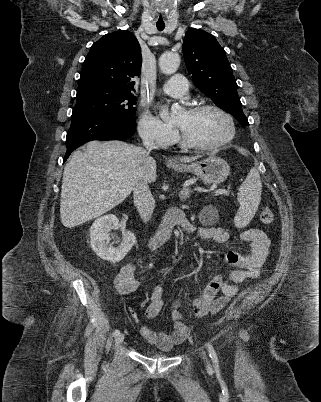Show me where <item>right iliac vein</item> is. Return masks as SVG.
<instances>
[{"instance_id":"63e3f726","label":"right iliac vein","mask_w":321,"mask_h":402,"mask_svg":"<svg viewBox=\"0 0 321 402\" xmlns=\"http://www.w3.org/2000/svg\"><path fill=\"white\" fill-rule=\"evenodd\" d=\"M124 341V334H119L116 338H115V345L118 346L120 345L122 342Z\"/></svg>"}]
</instances>
